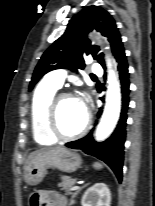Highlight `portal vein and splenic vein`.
Segmentation results:
<instances>
[{
	"label": "portal vein and splenic vein",
	"instance_id": "1",
	"mask_svg": "<svg viewBox=\"0 0 155 206\" xmlns=\"http://www.w3.org/2000/svg\"><path fill=\"white\" fill-rule=\"evenodd\" d=\"M80 187L77 185V186H74L71 190H77L79 189Z\"/></svg>",
	"mask_w": 155,
	"mask_h": 206
}]
</instances>
